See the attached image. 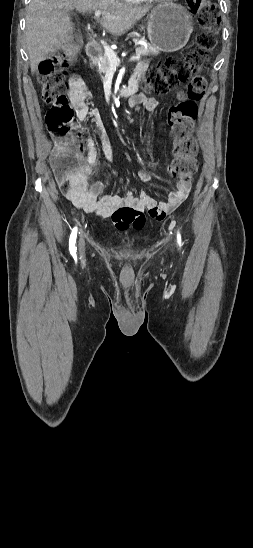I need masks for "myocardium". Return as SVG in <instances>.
I'll return each mask as SVG.
<instances>
[{
    "label": "myocardium",
    "instance_id": "1",
    "mask_svg": "<svg viewBox=\"0 0 253 548\" xmlns=\"http://www.w3.org/2000/svg\"><path fill=\"white\" fill-rule=\"evenodd\" d=\"M149 1L161 2V1H167V0H149Z\"/></svg>",
    "mask_w": 253,
    "mask_h": 548
}]
</instances>
